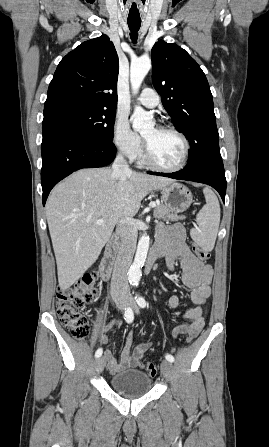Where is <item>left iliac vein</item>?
<instances>
[{"label": "left iliac vein", "instance_id": "1", "mask_svg": "<svg viewBox=\"0 0 269 447\" xmlns=\"http://www.w3.org/2000/svg\"><path fill=\"white\" fill-rule=\"evenodd\" d=\"M129 304L131 305V307L134 309V311L136 313L139 312L138 306L135 303V300L130 298V302ZM161 372L164 375V377L169 378L172 373H173V365L171 362H169L168 360H163L161 362Z\"/></svg>", "mask_w": 269, "mask_h": 447}]
</instances>
